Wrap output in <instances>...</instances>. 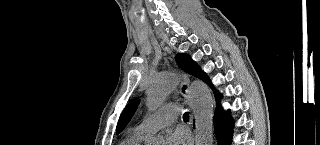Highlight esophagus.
<instances>
[{"mask_svg": "<svg viewBox=\"0 0 320 145\" xmlns=\"http://www.w3.org/2000/svg\"><path fill=\"white\" fill-rule=\"evenodd\" d=\"M189 83H190L189 78L186 76H183L180 84V93L186 97L189 93Z\"/></svg>", "mask_w": 320, "mask_h": 145, "instance_id": "esophagus-1", "label": "esophagus"}]
</instances>
